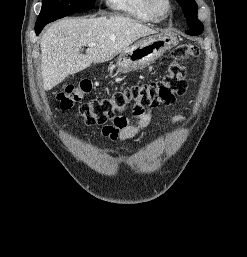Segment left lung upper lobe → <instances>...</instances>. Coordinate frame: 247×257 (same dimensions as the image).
Masks as SVG:
<instances>
[{
  "mask_svg": "<svg viewBox=\"0 0 247 257\" xmlns=\"http://www.w3.org/2000/svg\"><path fill=\"white\" fill-rule=\"evenodd\" d=\"M182 7L189 29V35H199L203 31V24L197 18L198 6L195 0H176Z\"/></svg>",
  "mask_w": 247,
  "mask_h": 257,
  "instance_id": "5c2ea615",
  "label": "left lung upper lobe"
}]
</instances>
